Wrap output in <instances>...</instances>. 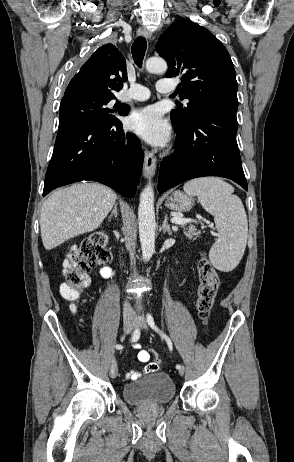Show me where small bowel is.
<instances>
[{
    "label": "small bowel",
    "mask_w": 294,
    "mask_h": 462,
    "mask_svg": "<svg viewBox=\"0 0 294 462\" xmlns=\"http://www.w3.org/2000/svg\"><path fill=\"white\" fill-rule=\"evenodd\" d=\"M100 274L104 278H109L113 275V271L110 267L105 266L100 269ZM134 348L139 350L138 352V360L142 363H146L144 368L141 371H130L126 374V378L128 379H137L141 375L148 374V373H153L159 370L160 368V363L159 361H150V353L141 348V345L138 343L134 344Z\"/></svg>",
    "instance_id": "c3829d8e"
}]
</instances>
